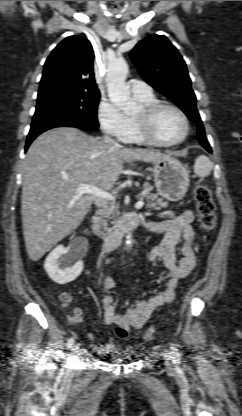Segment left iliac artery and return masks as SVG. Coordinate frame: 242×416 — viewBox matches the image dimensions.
Returning <instances> with one entry per match:
<instances>
[{"instance_id": "obj_1", "label": "left iliac artery", "mask_w": 242, "mask_h": 416, "mask_svg": "<svg viewBox=\"0 0 242 416\" xmlns=\"http://www.w3.org/2000/svg\"><path fill=\"white\" fill-rule=\"evenodd\" d=\"M170 349H171V353L174 357V362L179 363L180 362V357H179V353H178V350H177L176 346L174 344H171Z\"/></svg>"}]
</instances>
